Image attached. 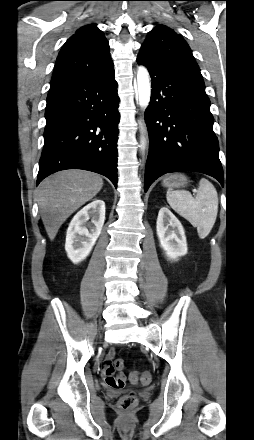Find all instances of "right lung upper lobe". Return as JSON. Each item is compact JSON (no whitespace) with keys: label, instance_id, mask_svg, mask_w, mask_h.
<instances>
[{"label":"right lung upper lobe","instance_id":"cb5924a9","mask_svg":"<svg viewBox=\"0 0 254 440\" xmlns=\"http://www.w3.org/2000/svg\"><path fill=\"white\" fill-rule=\"evenodd\" d=\"M113 65L109 44L95 24L81 27L63 45L55 64L51 87L103 72Z\"/></svg>","mask_w":254,"mask_h":440}]
</instances>
